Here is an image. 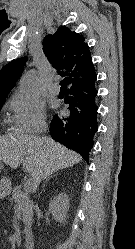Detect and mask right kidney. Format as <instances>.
<instances>
[{
    "mask_svg": "<svg viewBox=\"0 0 135 249\" xmlns=\"http://www.w3.org/2000/svg\"><path fill=\"white\" fill-rule=\"evenodd\" d=\"M69 210V199L64 193L58 194L49 204V211L52 214L54 220L59 223L66 221V215Z\"/></svg>",
    "mask_w": 135,
    "mask_h": 249,
    "instance_id": "obj_1",
    "label": "right kidney"
}]
</instances>
